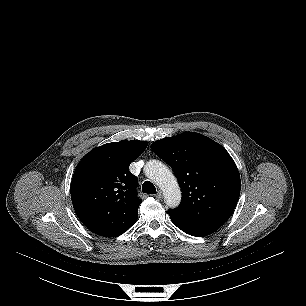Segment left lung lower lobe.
Wrapping results in <instances>:
<instances>
[{"label": "left lung lower lobe", "mask_w": 306, "mask_h": 306, "mask_svg": "<svg viewBox=\"0 0 306 306\" xmlns=\"http://www.w3.org/2000/svg\"><path fill=\"white\" fill-rule=\"evenodd\" d=\"M168 212L174 225H176L180 230H182L183 232L189 235L197 237L206 236L212 234L213 232L219 229V227L216 226L195 224L178 217L177 215H175L170 211Z\"/></svg>", "instance_id": "obj_1"}]
</instances>
